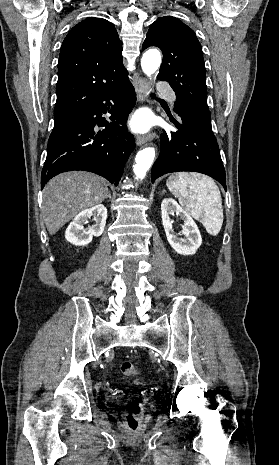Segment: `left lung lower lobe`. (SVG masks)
<instances>
[{"instance_id":"obj_1","label":"left lung lower lobe","mask_w":279,"mask_h":465,"mask_svg":"<svg viewBox=\"0 0 279 465\" xmlns=\"http://www.w3.org/2000/svg\"><path fill=\"white\" fill-rule=\"evenodd\" d=\"M170 120L177 132L161 135L160 155L151 171L152 182L171 172L194 171L209 175L226 190L225 169L211 126L189 114H178Z\"/></svg>"}]
</instances>
